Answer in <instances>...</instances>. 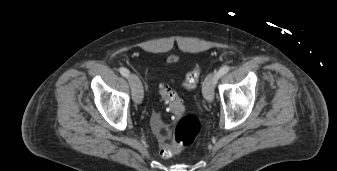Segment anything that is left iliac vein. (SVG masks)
Instances as JSON below:
<instances>
[{
    "mask_svg": "<svg viewBox=\"0 0 337 171\" xmlns=\"http://www.w3.org/2000/svg\"><path fill=\"white\" fill-rule=\"evenodd\" d=\"M217 83V77L216 73L209 74L204 83H203V95L205 99L209 102H212L214 100V87Z\"/></svg>",
    "mask_w": 337,
    "mask_h": 171,
    "instance_id": "obj_1",
    "label": "left iliac vein"
}]
</instances>
